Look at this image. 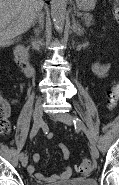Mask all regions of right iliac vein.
<instances>
[{
	"label": "right iliac vein",
	"instance_id": "63e3f726",
	"mask_svg": "<svg viewBox=\"0 0 119 185\" xmlns=\"http://www.w3.org/2000/svg\"><path fill=\"white\" fill-rule=\"evenodd\" d=\"M33 113H38L39 115H38V121L40 122L39 124H36L35 122V118H33V120H34V126H37V127H40L41 126V124H42V108H41V101H38L37 103H36V105H35V108H34V112ZM21 164H22V166L23 167H26L27 166V164H28V158H27V156H24L22 159H21Z\"/></svg>",
	"mask_w": 119,
	"mask_h": 185
}]
</instances>
